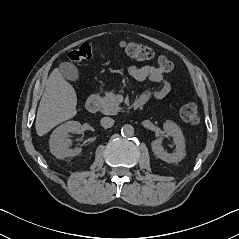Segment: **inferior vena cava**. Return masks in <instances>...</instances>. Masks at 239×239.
<instances>
[{"mask_svg": "<svg viewBox=\"0 0 239 239\" xmlns=\"http://www.w3.org/2000/svg\"><path fill=\"white\" fill-rule=\"evenodd\" d=\"M102 127L110 128L114 125V120L110 117H103L100 121Z\"/></svg>", "mask_w": 239, "mask_h": 239, "instance_id": "602c4592", "label": "inferior vena cava"}]
</instances>
